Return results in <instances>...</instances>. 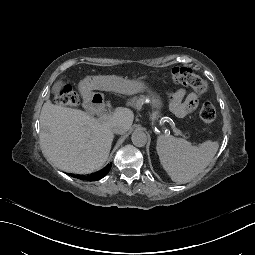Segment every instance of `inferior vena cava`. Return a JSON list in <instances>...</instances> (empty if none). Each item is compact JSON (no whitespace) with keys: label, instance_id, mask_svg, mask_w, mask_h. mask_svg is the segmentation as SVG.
I'll list each match as a JSON object with an SVG mask.
<instances>
[{"label":"inferior vena cava","instance_id":"1","mask_svg":"<svg viewBox=\"0 0 255 255\" xmlns=\"http://www.w3.org/2000/svg\"><path fill=\"white\" fill-rule=\"evenodd\" d=\"M111 131L115 134H124L126 132V126L122 123H117L111 126Z\"/></svg>","mask_w":255,"mask_h":255}]
</instances>
